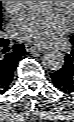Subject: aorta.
<instances>
[{
	"label": "aorta",
	"instance_id": "762f6f07",
	"mask_svg": "<svg viewBox=\"0 0 74 122\" xmlns=\"http://www.w3.org/2000/svg\"><path fill=\"white\" fill-rule=\"evenodd\" d=\"M49 1H27V4L33 9H40L46 6ZM42 63L46 69L59 70L64 66V55L58 50H47L42 57Z\"/></svg>",
	"mask_w": 74,
	"mask_h": 122
}]
</instances>
